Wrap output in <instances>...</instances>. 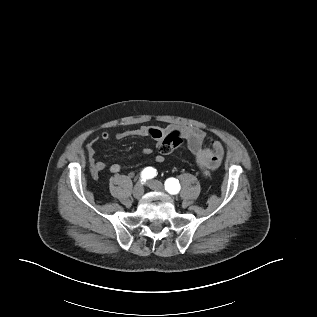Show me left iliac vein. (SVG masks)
I'll return each instance as SVG.
<instances>
[{
	"label": "left iliac vein",
	"instance_id": "4c4485c4",
	"mask_svg": "<svg viewBox=\"0 0 317 317\" xmlns=\"http://www.w3.org/2000/svg\"><path fill=\"white\" fill-rule=\"evenodd\" d=\"M147 186L155 191H163L164 190L163 184L157 180L148 181Z\"/></svg>",
	"mask_w": 317,
	"mask_h": 317
}]
</instances>
